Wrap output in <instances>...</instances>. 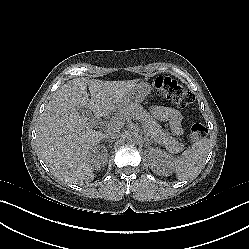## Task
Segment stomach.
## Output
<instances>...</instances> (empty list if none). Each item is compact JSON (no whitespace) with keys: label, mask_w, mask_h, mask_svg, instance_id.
I'll return each instance as SVG.
<instances>
[{"label":"stomach","mask_w":249,"mask_h":249,"mask_svg":"<svg viewBox=\"0 0 249 249\" xmlns=\"http://www.w3.org/2000/svg\"><path fill=\"white\" fill-rule=\"evenodd\" d=\"M151 85L148 82H140L135 85L127 96L129 102H141L151 93Z\"/></svg>","instance_id":"stomach-1"}]
</instances>
